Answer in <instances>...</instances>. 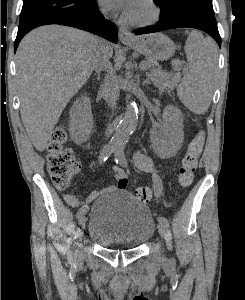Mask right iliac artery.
<instances>
[{"label":"right iliac artery","instance_id":"1","mask_svg":"<svg viewBox=\"0 0 245 300\" xmlns=\"http://www.w3.org/2000/svg\"><path fill=\"white\" fill-rule=\"evenodd\" d=\"M115 149H116V148H115L114 146H112V145H107V146H105V147L101 150V152H100V154H99V162H100V164L104 163V162L108 159V157H109L112 153H114ZM87 211H88V206H83V207L80 208L79 211L77 212L76 218H77V219H80L84 214L87 213Z\"/></svg>","mask_w":245,"mask_h":300}]
</instances>
